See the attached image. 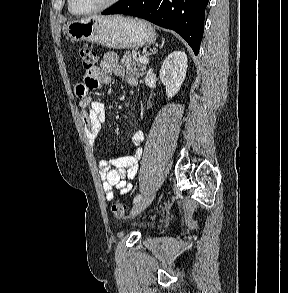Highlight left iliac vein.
I'll list each match as a JSON object with an SVG mask.
<instances>
[{"mask_svg":"<svg viewBox=\"0 0 288 293\" xmlns=\"http://www.w3.org/2000/svg\"><path fill=\"white\" fill-rule=\"evenodd\" d=\"M154 199V195L146 197L140 201H138L131 210V216L135 217L139 213H141Z\"/></svg>","mask_w":288,"mask_h":293,"instance_id":"4c4485c4","label":"left iliac vein"}]
</instances>
